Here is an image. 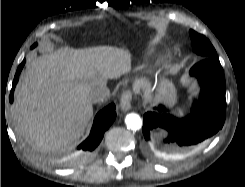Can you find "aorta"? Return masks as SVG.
Wrapping results in <instances>:
<instances>
[{"mask_svg": "<svg viewBox=\"0 0 245 187\" xmlns=\"http://www.w3.org/2000/svg\"><path fill=\"white\" fill-rule=\"evenodd\" d=\"M125 123L127 128L131 130H139L142 127V120L140 116L136 113H130L125 118Z\"/></svg>", "mask_w": 245, "mask_h": 187, "instance_id": "1", "label": "aorta"}]
</instances>
